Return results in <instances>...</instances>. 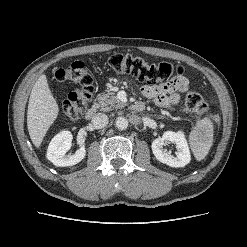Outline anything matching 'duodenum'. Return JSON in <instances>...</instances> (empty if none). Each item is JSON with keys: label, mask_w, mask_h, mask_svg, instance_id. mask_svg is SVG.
I'll return each instance as SVG.
<instances>
[{"label": "duodenum", "mask_w": 247, "mask_h": 247, "mask_svg": "<svg viewBox=\"0 0 247 247\" xmlns=\"http://www.w3.org/2000/svg\"><path fill=\"white\" fill-rule=\"evenodd\" d=\"M145 109V105L142 102H137L132 105V110L135 112H142ZM97 112V106L92 105L85 113L86 119H91Z\"/></svg>", "instance_id": "duodenum-1"}]
</instances>
